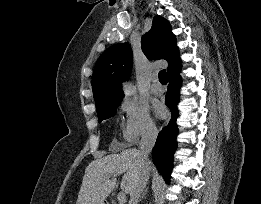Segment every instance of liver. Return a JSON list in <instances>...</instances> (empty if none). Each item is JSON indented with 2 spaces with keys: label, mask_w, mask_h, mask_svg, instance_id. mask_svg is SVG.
<instances>
[{
  "label": "liver",
  "mask_w": 261,
  "mask_h": 204,
  "mask_svg": "<svg viewBox=\"0 0 261 204\" xmlns=\"http://www.w3.org/2000/svg\"><path fill=\"white\" fill-rule=\"evenodd\" d=\"M121 173H124L121 189L131 195L143 173L137 149L92 161L85 170L76 204H104L116 186V176Z\"/></svg>",
  "instance_id": "obj_1"
}]
</instances>
